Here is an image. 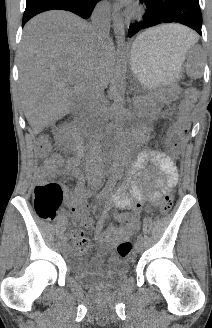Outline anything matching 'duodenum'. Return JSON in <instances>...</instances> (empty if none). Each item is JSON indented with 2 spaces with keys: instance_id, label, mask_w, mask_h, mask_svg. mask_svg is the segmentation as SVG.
Listing matches in <instances>:
<instances>
[{
  "instance_id": "1",
  "label": "duodenum",
  "mask_w": 212,
  "mask_h": 328,
  "mask_svg": "<svg viewBox=\"0 0 212 328\" xmlns=\"http://www.w3.org/2000/svg\"><path fill=\"white\" fill-rule=\"evenodd\" d=\"M68 132L72 138V145H73V150L76 159L79 161L82 157V152H83V140L81 136L76 132L72 124L68 126ZM143 137H144V133L141 131L135 135V138L138 140L142 139Z\"/></svg>"
}]
</instances>
